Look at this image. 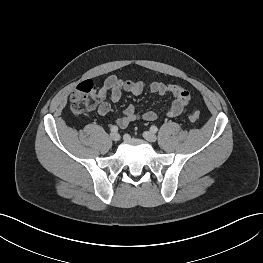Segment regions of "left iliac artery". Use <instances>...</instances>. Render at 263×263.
Instances as JSON below:
<instances>
[{
    "label": "left iliac artery",
    "instance_id": "left-iliac-artery-1",
    "mask_svg": "<svg viewBox=\"0 0 263 263\" xmlns=\"http://www.w3.org/2000/svg\"><path fill=\"white\" fill-rule=\"evenodd\" d=\"M151 132L156 133L158 131V128L155 125H152L150 127Z\"/></svg>",
    "mask_w": 263,
    "mask_h": 263
}]
</instances>
